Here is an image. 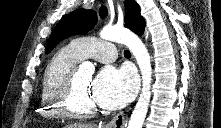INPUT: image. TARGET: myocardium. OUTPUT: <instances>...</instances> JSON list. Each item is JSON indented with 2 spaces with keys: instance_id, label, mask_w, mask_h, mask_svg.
Segmentation results:
<instances>
[{
  "instance_id": "1",
  "label": "myocardium",
  "mask_w": 221,
  "mask_h": 128,
  "mask_svg": "<svg viewBox=\"0 0 221 128\" xmlns=\"http://www.w3.org/2000/svg\"><path fill=\"white\" fill-rule=\"evenodd\" d=\"M76 72L73 70L63 87L54 96V102L59 112L68 118H88L97 113L95 106L80 107L75 104Z\"/></svg>"
}]
</instances>
